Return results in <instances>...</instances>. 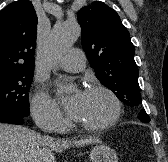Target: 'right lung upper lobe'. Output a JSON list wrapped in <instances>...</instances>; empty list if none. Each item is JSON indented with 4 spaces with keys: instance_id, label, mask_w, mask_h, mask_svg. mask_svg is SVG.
<instances>
[{
    "instance_id": "right-lung-upper-lobe-1",
    "label": "right lung upper lobe",
    "mask_w": 168,
    "mask_h": 162,
    "mask_svg": "<svg viewBox=\"0 0 168 162\" xmlns=\"http://www.w3.org/2000/svg\"><path fill=\"white\" fill-rule=\"evenodd\" d=\"M36 33L30 1H15L0 12V77L34 70Z\"/></svg>"
}]
</instances>
